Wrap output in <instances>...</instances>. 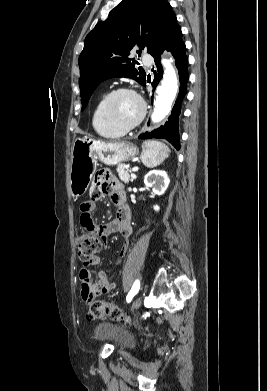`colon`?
<instances>
[{
    "label": "colon",
    "mask_w": 267,
    "mask_h": 391,
    "mask_svg": "<svg viewBox=\"0 0 267 391\" xmlns=\"http://www.w3.org/2000/svg\"><path fill=\"white\" fill-rule=\"evenodd\" d=\"M78 257L84 266L88 265L91 260L102 248V238L89 233H81L76 238ZM110 317L112 320H127L123 310L115 304L96 300L90 304L87 318L89 320H100Z\"/></svg>",
    "instance_id": "1"
}]
</instances>
